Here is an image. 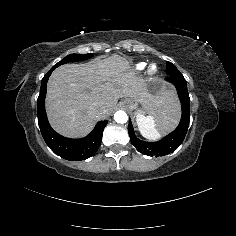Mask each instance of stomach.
I'll use <instances>...</instances> for the list:
<instances>
[{
	"label": "stomach",
	"mask_w": 236,
	"mask_h": 236,
	"mask_svg": "<svg viewBox=\"0 0 236 236\" xmlns=\"http://www.w3.org/2000/svg\"><path fill=\"white\" fill-rule=\"evenodd\" d=\"M144 89L153 98L157 100H164L169 95L173 96L172 88L168 84L164 83L161 79L152 78L146 79L144 81ZM139 102L135 99L125 97L120 106L123 108H127L129 110H136V115H143L145 110L138 108Z\"/></svg>",
	"instance_id": "0dacf381"
}]
</instances>
